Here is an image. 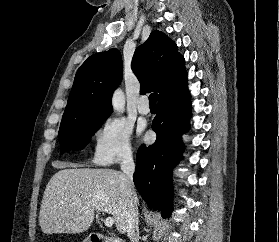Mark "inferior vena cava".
Wrapping results in <instances>:
<instances>
[{"instance_id": "inferior-vena-cava-1", "label": "inferior vena cava", "mask_w": 279, "mask_h": 242, "mask_svg": "<svg viewBox=\"0 0 279 242\" xmlns=\"http://www.w3.org/2000/svg\"><path fill=\"white\" fill-rule=\"evenodd\" d=\"M120 167L123 173L128 178L126 184V194L129 198L128 211L126 216L127 236L131 242H139L137 195L135 193L133 183V173L135 171V164L131 152L125 155Z\"/></svg>"}]
</instances>
